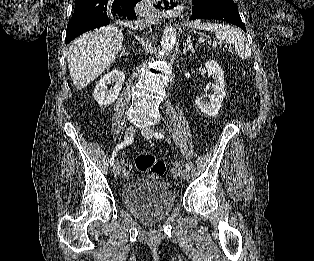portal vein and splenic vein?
Segmentation results:
<instances>
[{"label": "portal vein and splenic vein", "instance_id": "1", "mask_svg": "<svg viewBox=\"0 0 314 261\" xmlns=\"http://www.w3.org/2000/svg\"><path fill=\"white\" fill-rule=\"evenodd\" d=\"M213 46L216 47V46H217V43H216V42H213ZM226 47H227V45H226Z\"/></svg>", "mask_w": 314, "mask_h": 261}]
</instances>
